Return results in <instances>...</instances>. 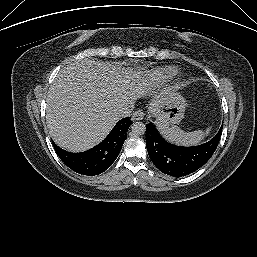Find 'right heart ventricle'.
Returning a JSON list of instances; mask_svg holds the SVG:
<instances>
[{"label":"right heart ventricle","instance_id":"obj_1","mask_svg":"<svg viewBox=\"0 0 257 257\" xmlns=\"http://www.w3.org/2000/svg\"><path fill=\"white\" fill-rule=\"evenodd\" d=\"M176 74V69L174 67H162L157 69L153 73L154 79L159 83H164L172 79Z\"/></svg>","mask_w":257,"mask_h":257}]
</instances>
